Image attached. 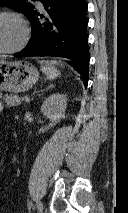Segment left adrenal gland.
<instances>
[{"mask_svg":"<svg viewBox=\"0 0 128 213\" xmlns=\"http://www.w3.org/2000/svg\"><path fill=\"white\" fill-rule=\"evenodd\" d=\"M53 86L52 85H50L46 90H48V89H50V88H52ZM41 91H43V90H41ZM28 103H29V100H28Z\"/></svg>","mask_w":128,"mask_h":213,"instance_id":"1","label":"left adrenal gland"}]
</instances>
